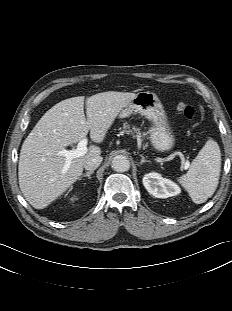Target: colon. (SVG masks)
Returning a JSON list of instances; mask_svg holds the SVG:
<instances>
[{"instance_id":"1","label":"colon","mask_w":232,"mask_h":311,"mask_svg":"<svg viewBox=\"0 0 232 311\" xmlns=\"http://www.w3.org/2000/svg\"><path fill=\"white\" fill-rule=\"evenodd\" d=\"M178 111L188 120H193L196 117V110L194 107L187 104H179Z\"/></svg>"}]
</instances>
